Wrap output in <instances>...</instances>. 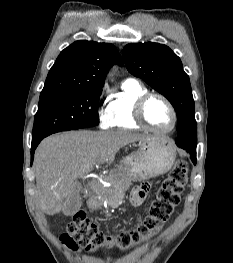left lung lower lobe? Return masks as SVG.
Returning a JSON list of instances; mask_svg holds the SVG:
<instances>
[{"label": "left lung lower lobe", "instance_id": "obj_1", "mask_svg": "<svg viewBox=\"0 0 233 263\" xmlns=\"http://www.w3.org/2000/svg\"><path fill=\"white\" fill-rule=\"evenodd\" d=\"M176 144L178 147L185 149L190 154L192 162L196 164V146H193L186 142Z\"/></svg>", "mask_w": 233, "mask_h": 263}]
</instances>
